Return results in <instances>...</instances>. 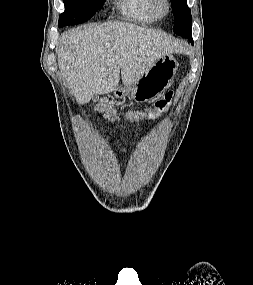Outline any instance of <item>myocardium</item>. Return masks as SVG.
Segmentation results:
<instances>
[{
  "label": "myocardium",
  "mask_w": 253,
  "mask_h": 285,
  "mask_svg": "<svg viewBox=\"0 0 253 285\" xmlns=\"http://www.w3.org/2000/svg\"><path fill=\"white\" fill-rule=\"evenodd\" d=\"M164 6V10H159V5ZM150 10L155 18L161 19L166 17L171 11L170 0H149Z\"/></svg>",
  "instance_id": "myocardium-1"
}]
</instances>
